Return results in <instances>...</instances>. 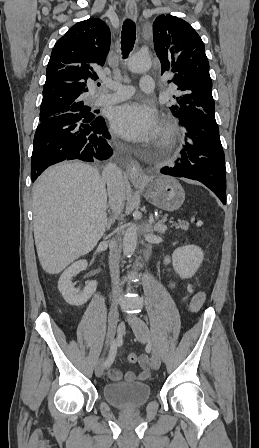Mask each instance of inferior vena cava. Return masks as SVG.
<instances>
[{
  "instance_id": "602c4592",
  "label": "inferior vena cava",
  "mask_w": 259,
  "mask_h": 448,
  "mask_svg": "<svg viewBox=\"0 0 259 448\" xmlns=\"http://www.w3.org/2000/svg\"><path fill=\"white\" fill-rule=\"evenodd\" d=\"M104 182L107 184L109 204L110 208L114 214H120L125 206V182L123 174L116 164H107L104 168L102 174ZM119 258H120V248L116 242L110 244V254H109V268L113 284V298H119L121 294L120 288H118L119 280Z\"/></svg>"
}]
</instances>
